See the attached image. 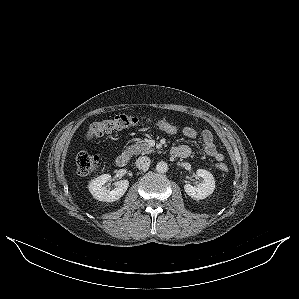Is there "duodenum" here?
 I'll use <instances>...</instances> for the list:
<instances>
[{
	"label": "duodenum",
	"mask_w": 299,
	"mask_h": 299,
	"mask_svg": "<svg viewBox=\"0 0 299 299\" xmlns=\"http://www.w3.org/2000/svg\"><path fill=\"white\" fill-rule=\"evenodd\" d=\"M171 153L172 155L179 154L181 157H187L186 150L184 149L173 148ZM129 160H130V154L128 152H124L116 158V165L119 168H124L128 165Z\"/></svg>",
	"instance_id": "410a0bca"
}]
</instances>
